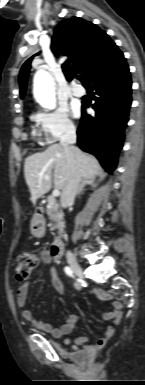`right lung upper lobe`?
Returning <instances> with one entry per match:
<instances>
[{
  "label": "right lung upper lobe",
  "instance_id": "obj_1",
  "mask_svg": "<svg viewBox=\"0 0 145 385\" xmlns=\"http://www.w3.org/2000/svg\"><path fill=\"white\" fill-rule=\"evenodd\" d=\"M51 48L55 56L63 62L62 69L66 79L70 81L81 77L85 87L126 64L123 53L103 30L78 17L63 20L56 27ZM32 58L23 64L20 71L21 98L26 91Z\"/></svg>",
  "mask_w": 145,
  "mask_h": 385
}]
</instances>
